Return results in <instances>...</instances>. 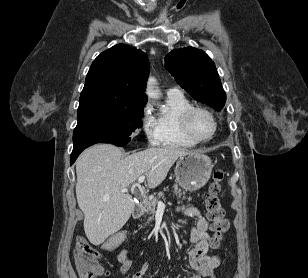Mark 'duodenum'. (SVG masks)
Segmentation results:
<instances>
[{
    "label": "duodenum",
    "instance_id": "obj_1",
    "mask_svg": "<svg viewBox=\"0 0 308 278\" xmlns=\"http://www.w3.org/2000/svg\"><path fill=\"white\" fill-rule=\"evenodd\" d=\"M144 212V205L143 204H137L133 211V216L135 218H139Z\"/></svg>",
    "mask_w": 308,
    "mask_h": 278
}]
</instances>
